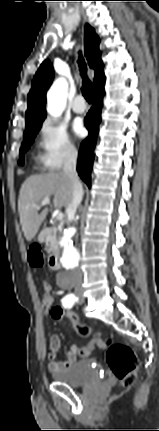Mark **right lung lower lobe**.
<instances>
[{
  "label": "right lung lower lobe",
  "instance_id": "98d812e1",
  "mask_svg": "<svg viewBox=\"0 0 159 431\" xmlns=\"http://www.w3.org/2000/svg\"><path fill=\"white\" fill-rule=\"evenodd\" d=\"M104 82L95 87L93 97L94 106L85 117V126L89 130V136L82 142L78 155L77 171L89 188L91 187V170L94 160L93 150L95 148L101 120L102 99L105 94Z\"/></svg>",
  "mask_w": 159,
  "mask_h": 431
}]
</instances>
